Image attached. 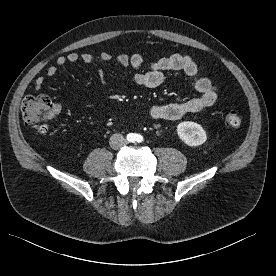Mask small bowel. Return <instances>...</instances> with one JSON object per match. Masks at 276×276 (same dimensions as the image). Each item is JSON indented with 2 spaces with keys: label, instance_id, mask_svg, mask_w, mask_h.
<instances>
[{
  "label": "small bowel",
  "instance_id": "c3829d8e",
  "mask_svg": "<svg viewBox=\"0 0 276 276\" xmlns=\"http://www.w3.org/2000/svg\"><path fill=\"white\" fill-rule=\"evenodd\" d=\"M123 67H131L140 69L146 61V57L142 54H119L115 58L109 52H102L99 55L90 53L71 52L67 55L58 56L55 65H50L46 69V75L53 77L58 72V67L67 63H93L102 66L112 60ZM182 72L193 79L195 89L199 95L188 101L181 103H173L166 105H154L149 110V115L153 119L158 120H177L187 114L198 113L211 107L217 100L218 94L216 87L206 78L199 76V68L197 63L186 54L176 53L157 60L147 72H136L134 81L137 85L156 88L164 82V72ZM99 75L105 82V73L102 67L99 68ZM44 78L38 77L34 82V89L39 91L44 85ZM95 105L87 104V108H93Z\"/></svg>",
  "mask_w": 276,
  "mask_h": 276
}]
</instances>
